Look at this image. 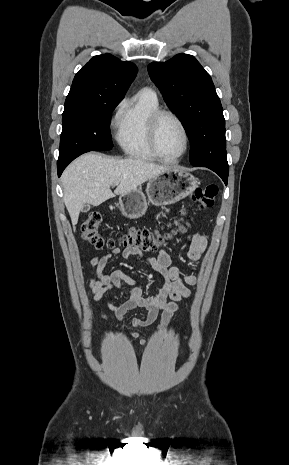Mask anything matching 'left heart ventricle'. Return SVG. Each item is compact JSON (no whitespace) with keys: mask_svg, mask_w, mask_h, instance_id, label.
Here are the masks:
<instances>
[{"mask_svg":"<svg viewBox=\"0 0 289 465\" xmlns=\"http://www.w3.org/2000/svg\"><path fill=\"white\" fill-rule=\"evenodd\" d=\"M159 149L166 158L177 157L184 149V134L179 124L171 117H164L159 126Z\"/></svg>","mask_w":289,"mask_h":465,"instance_id":"b2bd125f","label":"left heart ventricle"}]
</instances>
